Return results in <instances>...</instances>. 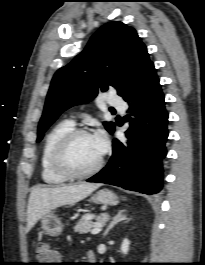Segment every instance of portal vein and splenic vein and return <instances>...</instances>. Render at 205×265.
<instances>
[{
    "label": "portal vein and splenic vein",
    "instance_id": "portal-vein-and-splenic-vein-1",
    "mask_svg": "<svg viewBox=\"0 0 205 265\" xmlns=\"http://www.w3.org/2000/svg\"><path fill=\"white\" fill-rule=\"evenodd\" d=\"M102 230V225H97V226H95L90 232H91V234H93V235H96V234H98L100 231Z\"/></svg>",
    "mask_w": 205,
    "mask_h": 265
}]
</instances>
